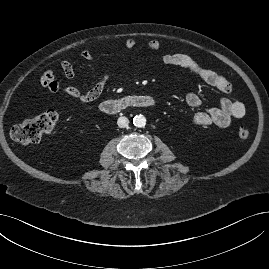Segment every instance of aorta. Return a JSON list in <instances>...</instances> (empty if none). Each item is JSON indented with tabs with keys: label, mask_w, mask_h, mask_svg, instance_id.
<instances>
[{
	"label": "aorta",
	"mask_w": 269,
	"mask_h": 269,
	"mask_svg": "<svg viewBox=\"0 0 269 269\" xmlns=\"http://www.w3.org/2000/svg\"><path fill=\"white\" fill-rule=\"evenodd\" d=\"M133 124L138 128H142L146 125V118L143 115H136L133 118Z\"/></svg>",
	"instance_id": "obj_1"
}]
</instances>
